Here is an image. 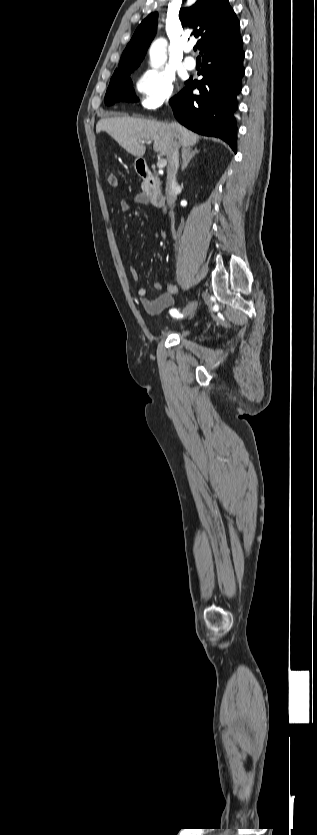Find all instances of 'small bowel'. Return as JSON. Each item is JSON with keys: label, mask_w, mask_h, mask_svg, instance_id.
<instances>
[{"label": "small bowel", "mask_w": 317, "mask_h": 835, "mask_svg": "<svg viewBox=\"0 0 317 835\" xmlns=\"http://www.w3.org/2000/svg\"><path fill=\"white\" fill-rule=\"evenodd\" d=\"M146 202V197L143 194H137L130 199H123L120 202V210L122 212L129 211L133 205L136 204H143ZM130 273L134 281L139 280V272L136 267L132 266L130 268ZM153 289L155 291H161L163 289V285L161 282L156 281L153 283ZM178 292V288L173 283H168L166 285V291L161 293L155 299H149L147 297V289L145 287H140L137 291L140 303L144 310L149 314L156 315L161 313L164 309L173 305L174 300L173 296ZM192 303V302H191ZM190 303V304H191ZM191 307H195V304H191Z\"/></svg>", "instance_id": "1"}]
</instances>
